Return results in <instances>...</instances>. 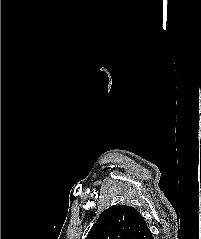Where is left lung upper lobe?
Listing matches in <instances>:
<instances>
[{"label": "left lung upper lobe", "instance_id": "1", "mask_svg": "<svg viewBox=\"0 0 201 239\" xmlns=\"http://www.w3.org/2000/svg\"><path fill=\"white\" fill-rule=\"evenodd\" d=\"M142 215L132 206H112L101 213L85 239H148Z\"/></svg>", "mask_w": 201, "mask_h": 239}]
</instances>
